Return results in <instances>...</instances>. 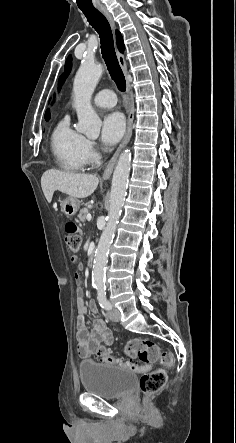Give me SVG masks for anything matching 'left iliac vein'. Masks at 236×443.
I'll return each mask as SVG.
<instances>
[{
	"mask_svg": "<svg viewBox=\"0 0 236 443\" xmlns=\"http://www.w3.org/2000/svg\"><path fill=\"white\" fill-rule=\"evenodd\" d=\"M107 316L110 320H112L114 322H119V320H120V312L115 308L109 310L107 312Z\"/></svg>",
	"mask_w": 236,
	"mask_h": 443,
	"instance_id": "obj_1",
	"label": "left iliac vein"
}]
</instances>
